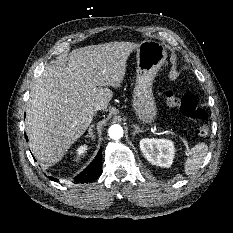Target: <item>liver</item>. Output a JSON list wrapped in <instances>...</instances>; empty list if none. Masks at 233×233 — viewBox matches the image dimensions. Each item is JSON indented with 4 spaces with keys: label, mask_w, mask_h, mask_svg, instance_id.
I'll use <instances>...</instances> for the list:
<instances>
[{
    "label": "liver",
    "mask_w": 233,
    "mask_h": 233,
    "mask_svg": "<svg viewBox=\"0 0 233 233\" xmlns=\"http://www.w3.org/2000/svg\"><path fill=\"white\" fill-rule=\"evenodd\" d=\"M139 44L110 42L72 50L68 63L51 64L33 86L26 108L25 131L35 158L47 168L59 162L93 120L105 111L109 87L123 81L126 61Z\"/></svg>",
    "instance_id": "liver-1"
}]
</instances>
